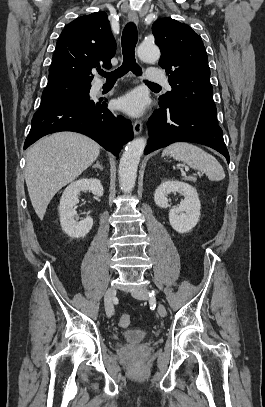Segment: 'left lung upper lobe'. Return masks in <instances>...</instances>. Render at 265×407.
<instances>
[{
  "instance_id": "1",
  "label": "left lung upper lobe",
  "mask_w": 265,
  "mask_h": 407,
  "mask_svg": "<svg viewBox=\"0 0 265 407\" xmlns=\"http://www.w3.org/2000/svg\"><path fill=\"white\" fill-rule=\"evenodd\" d=\"M152 32L161 49L159 65L166 70L171 91L159 97L160 107H177L217 122L207 53L190 26L171 18L154 22Z\"/></svg>"
}]
</instances>
